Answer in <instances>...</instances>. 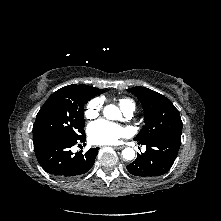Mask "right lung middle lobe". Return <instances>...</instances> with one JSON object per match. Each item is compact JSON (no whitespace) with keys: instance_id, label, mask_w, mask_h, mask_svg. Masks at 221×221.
Listing matches in <instances>:
<instances>
[{"instance_id":"right-lung-middle-lobe-1","label":"right lung middle lobe","mask_w":221,"mask_h":221,"mask_svg":"<svg viewBox=\"0 0 221 221\" xmlns=\"http://www.w3.org/2000/svg\"><path fill=\"white\" fill-rule=\"evenodd\" d=\"M90 98L83 92L61 88L41 107L33 126L34 148L55 140L74 141L84 135V105Z\"/></svg>"}]
</instances>
